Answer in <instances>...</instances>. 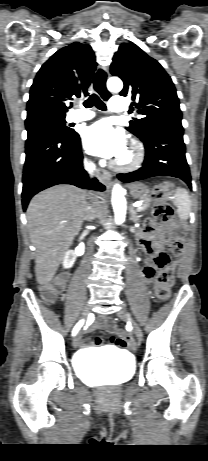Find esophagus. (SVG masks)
I'll list each match as a JSON object with an SVG mask.
<instances>
[{"instance_id":"34e87169","label":"esophagus","mask_w":208,"mask_h":461,"mask_svg":"<svg viewBox=\"0 0 208 461\" xmlns=\"http://www.w3.org/2000/svg\"><path fill=\"white\" fill-rule=\"evenodd\" d=\"M105 74H106V80H105V84H106V81L109 77V71L105 70ZM98 177L107 187H110L113 184L112 175L104 169L98 170Z\"/></svg>"}]
</instances>
